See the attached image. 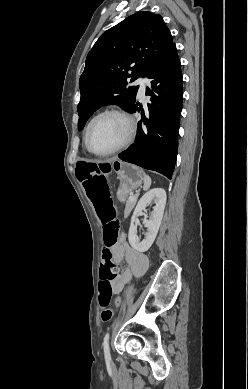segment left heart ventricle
<instances>
[{
  "mask_svg": "<svg viewBox=\"0 0 248 389\" xmlns=\"http://www.w3.org/2000/svg\"><path fill=\"white\" fill-rule=\"evenodd\" d=\"M126 135V125L117 116L108 115L98 119L89 132V147L105 152L117 146Z\"/></svg>",
  "mask_w": 248,
  "mask_h": 389,
  "instance_id": "left-heart-ventricle-1",
  "label": "left heart ventricle"
}]
</instances>
